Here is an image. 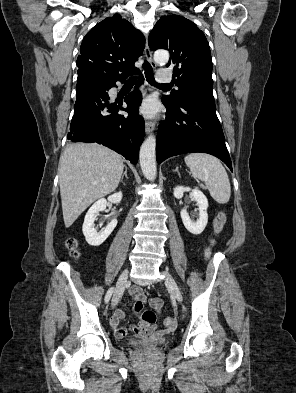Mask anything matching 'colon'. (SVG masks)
<instances>
[{"instance_id": "1", "label": "colon", "mask_w": 296, "mask_h": 393, "mask_svg": "<svg viewBox=\"0 0 296 393\" xmlns=\"http://www.w3.org/2000/svg\"><path fill=\"white\" fill-rule=\"evenodd\" d=\"M225 221H226L225 214L223 212H219L214 220V232L216 234H219L223 230ZM67 245L70 248L71 252L73 254H76L75 239L73 238L68 239ZM210 252H211V247H208L205 251L206 256H208ZM134 311L143 322L149 325H153L156 322L155 312L149 309H145L144 303L140 299L136 300L134 305ZM164 324L168 329H172L176 326V321L173 318H166Z\"/></svg>"}]
</instances>
